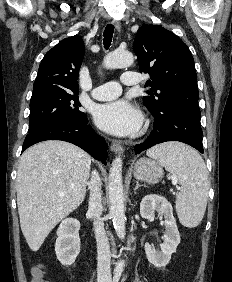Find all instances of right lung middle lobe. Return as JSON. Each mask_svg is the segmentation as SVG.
<instances>
[{
	"label": "right lung middle lobe",
	"instance_id": "right-lung-middle-lobe-1",
	"mask_svg": "<svg viewBox=\"0 0 232 282\" xmlns=\"http://www.w3.org/2000/svg\"><path fill=\"white\" fill-rule=\"evenodd\" d=\"M78 91L48 89L33 91L30 101L29 132L58 121H82L87 116L79 110Z\"/></svg>",
	"mask_w": 232,
	"mask_h": 282
}]
</instances>
